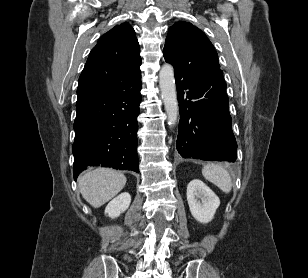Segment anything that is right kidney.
I'll return each mask as SVG.
<instances>
[{"mask_svg":"<svg viewBox=\"0 0 308 278\" xmlns=\"http://www.w3.org/2000/svg\"><path fill=\"white\" fill-rule=\"evenodd\" d=\"M131 203V196L129 193H121L116 198L108 203L105 208V214L114 219L120 216V214L126 211Z\"/></svg>","mask_w":308,"mask_h":278,"instance_id":"obj_1","label":"right kidney"}]
</instances>
